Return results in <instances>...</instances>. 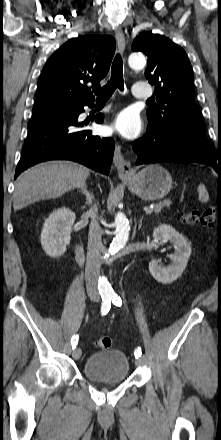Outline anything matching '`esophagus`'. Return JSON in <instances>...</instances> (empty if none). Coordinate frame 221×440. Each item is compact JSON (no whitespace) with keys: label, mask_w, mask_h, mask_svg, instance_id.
Wrapping results in <instances>:
<instances>
[{"label":"esophagus","mask_w":221,"mask_h":440,"mask_svg":"<svg viewBox=\"0 0 221 440\" xmlns=\"http://www.w3.org/2000/svg\"><path fill=\"white\" fill-rule=\"evenodd\" d=\"M115 37L118 43L119 51L123 53L125 50L126 41L124 33L120 27L115 29ZM113 163L118 171L119 177H127L130 174L131 163L123 157L121 146L119 144H117L115 148Z\"/></svg>","instance_id":"obj_1"}]
</instances>
